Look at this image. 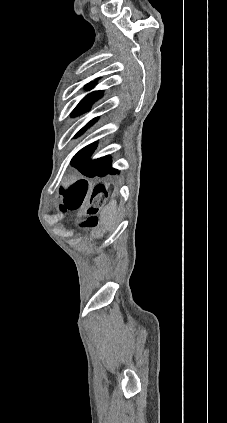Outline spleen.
Segmentation results:
<instances>
[{"instance_id":"spleen-1","label":"spleen","mask_w":227,"mask_h":423,"mask_svg":"<svg viewBox=\"0 0 227 423\" xmlns=\"http://www.w3.org/2000/svg\"><path fill=\"white\" fill-rule=\"evenodd\" d=\"M117 213V202L116 200H112L109 206L102 211V223L105 227H112L115 219V215Z\"/></svg>"}]
</instances>
